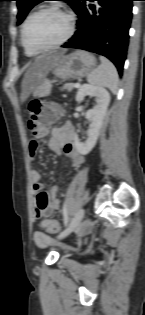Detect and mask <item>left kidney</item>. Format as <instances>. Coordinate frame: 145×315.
I'll use <instances>...</instances> for the list:
<instances>
[{"instance_id": "obj_1", "label": "left kidney", "mask_w": 145, "mask_h": 315, "mask_svg": "<svg viewBox=\"0 0 145 315\" xmlns=\"http://www.w3.org/2000/svg\"><path fill=\"white\" fill-rule=\"evenodd\" d=\"M87 95L95 97L96 105L86 113V119L90 121L87 140L80 142L78 136L74 135V145L82 155L88 154L94 148L110 102V94L106 89L89 84H84L79 88L76 101H83Z\"/></svg>"}]
</instances>
